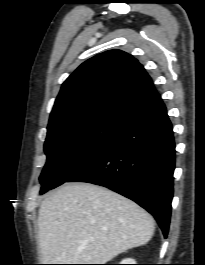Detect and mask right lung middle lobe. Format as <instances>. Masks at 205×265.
Returning <instances> with one entry per match:
<instances>
[{"label": "right lung middle lobe", "mask_w": 205, "mask_h": 265, "mask_svg": "<svg viewBox=\"0 0 205 265\" xmlns=\"http://www.w3.org/2000/svg\"><path fill=\"white\" fill-rule=\"evenodd\" d=\"M123 125L98 122L71 130L47 133V162L39 178L43 194L66 182L87 165L115 137Z\"/></svg>", "instance_id": "right-lung-middle-lobe-1"}]
</instances>
